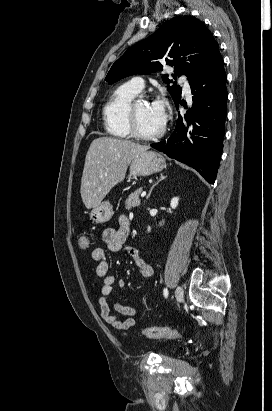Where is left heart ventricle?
<instances>
[{
	"instance_id": "obj_1",
	"label": "left heart ventricle",
	"mask_w": 272,
	"mask_h": 411,
	"mask_svg": "<svg viewBox=\"0 0 272 411\" xmlns=\"http://www.w3.org/2000/svg\"><path fill=\"white\" fill-rule=\"evenodd\" d=\"M136 121L139 130L145 134L157 132L162 123L155 117L151 104L148 102H139L136 106Z\"/></svg>"
}]
</instances>
